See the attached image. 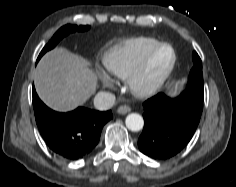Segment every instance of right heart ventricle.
<instances>
[{
	"label": "right heart ventricle",
	"mask_w": 236,
	"mask_h": 187,
	"mask_svg": "<svg viewBox=\"0 0 236 187\" xmlns=\"http://www.w3.org/2000/svg\"><path fill=\"white\" fill-rule=\"evenodd\" d=\"M159 43L158 39L149 36L125 39L103 53V65L109 74L127 79L143 56Z\"/></svg>",
	"instance_id": "e07e8e85"
}]
</instances>
